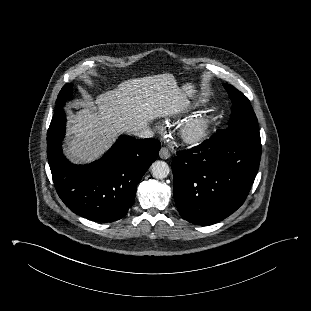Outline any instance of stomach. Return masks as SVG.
Returning <instances> with one entry per match:
<instances>
[{"instance_id": "0dacf381", "label": "stomach", "mask_w": 311, "mask_h": 311, "mask_svg": "<svg viewBox=\"0 0 311 311\" xmlns=\"http://www.w3.org/2000/svg\"><path fill=\"white\" fill-rule=\"evenodd\" d=\"M182 89L184 90L186 95H189V96H192L195 93L194 85L190 83L184 84Z\"/></svg>"}]
</instances>
